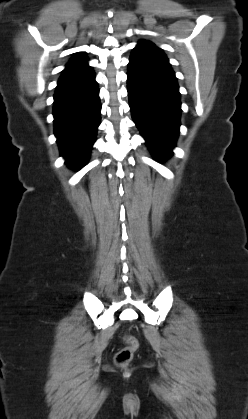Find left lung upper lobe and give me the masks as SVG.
<instances>
[{
  "mask_svg": "<svg viewBox=\"0 0 248 419\" xmlns=\"http://www.w3.org/2000/svg\"><path fill=\"white\" fill-rule=\"evenodd\" d=\"M137 47L142 48L143 50L149 51V52H153L158 54L159 56L166 58V56L162 53V50L160 48H157L152 42L150 41H144L141 40Z\"/></svg>",
  "mask_w": 248,
  "mask_h": 419,
  "instance_id": "left-lung-upper-lobe-1",
  "label": "left lung upper lobe"
}]
</instances>
